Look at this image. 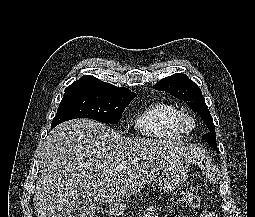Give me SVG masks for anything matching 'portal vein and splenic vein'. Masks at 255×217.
<instances>
[{"label": "portal vein and splenic vein", "mask_w": 255, "mask_h": 217, "mask_svg": "<svg viewBox=\"0 0 255 217\" xmlns=\"http://www.w3.org/2000/svg\"><path fill=\"white\" fill-rule=\"evenodd\" d=\"M123 169V167H121V166H119V167H117V171H120V170H122Z\"/></svg>", "instance_id": "obj_1"}]
</instances>
